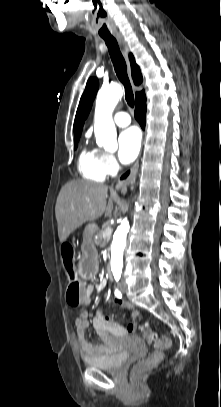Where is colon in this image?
<instances>
[{"label": "colon", "instance_id": "colon-1", "mask_svg": "<svg viewBox=\"0 0 221 407\" xmlns=\"http://www.w3.org/2000/svg\"><path fill=\"white\" fill-rule=\"evenodd\" d=\"M63 259L68 270L70 276V284L68 287V291H66L65 303L66 306H71L73 311H78L80 306H82L83 299H84V292L82 290V284L77 279L72 262V255L68 249L63 250ZM130 312L133 310L131 307L128 309ZM144 320L143 314L137 315V320L135 321L137 324L140 321ZM143 336L149 343H153L156 350L151 353L145 360L138 362L132 370V374L134 378L141 377L145 372L149 369L156 366L163 358L164 353L163 350L167 349L170 346V340L167 338H159L158 335L153 332L147 325L141 326L140 328Z\"/></svg>", "mask_w": 221, "mask_h": 407}]
</instances>
